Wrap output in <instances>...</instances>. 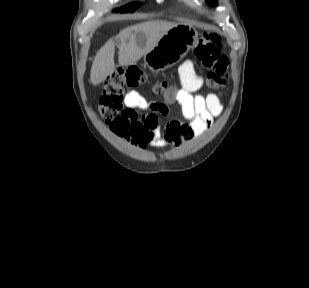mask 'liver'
<instances>
[{
  "mask_svg": "<svg viewBox=\"0 0 309 288\" xmlns=\"http://www.w3.org/2000/svg\"><path fill=\"white\" fill-rule=\"evenodd\" d=\"M176 25L177 23L169 21L151 20L123 29L115 38L108 40L97 52L90 71L91 83L98 85L114 72L116 45L119 48V65L129 66L150 51L158 40ZM139 34H142L145 38L144 45L138 43L137 36Z\"/></svg>",
  "mask_w": 309,
  "mask_h": 288,
  "instance_id": "obj_1",
  "label": "liver"
}]
</instances>
